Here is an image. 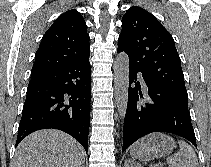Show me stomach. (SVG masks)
Wrapping results in <instances>:
<instances>
[{"label": "stomach", "mask_w": 211, "mask_h": 167, "mask_svg": "<svg viewBox=\"0 0 211 167\" xmlns=\"http://www.w3.org/2000/svg\"><path fill=\"white\" fill-rule=\"evenodd\" d=\"M174 148L173 138L162 133H154L136 142L130 153L133 158L149 161L170 154Z\"/></svg>", "instance_id": "0dacf381"}]
</instances>
